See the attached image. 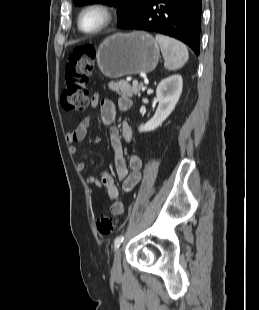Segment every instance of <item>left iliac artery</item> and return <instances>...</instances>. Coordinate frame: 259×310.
<instances>
[{
  "mask_svg": "<svg viewBox=\"0 0 259 310\" xmlns=\"http://www.w3.org/2000/svg\"><path fill=\"white\" fill-rule=\"evenodd\" d=\"M124 236L120 235L119 237H117L114 241V248L117 249L120 244L123 242Z\"/></svg>",
  "mask_w": 259,
  "mask_h": 310,
  "instance_id": "left-iliac-artery-1",
  "label": "left iliac artery"
}]
</instances>
